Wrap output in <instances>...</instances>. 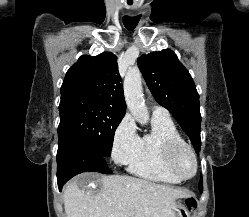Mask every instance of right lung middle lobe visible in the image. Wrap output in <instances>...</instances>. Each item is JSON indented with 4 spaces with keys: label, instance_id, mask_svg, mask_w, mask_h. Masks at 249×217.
<instances>
[{
    "label": "right lung middle lobe",
    "instance_id": "dd1d6c3e",
    "mask_svg": "<svg viewBox=\"0 0 249 217\" xmlns=\"http://www.w3.org/2000/svg\"><path fill=\"white\" fill-rule=\"evenodd\" d=\"M58 137H71L99 156L111 155L114 133L125 113L87 99H61Z\"/></svg>",
    "mask_w": 249,
    "mask_h": 217
}]
</instances>
